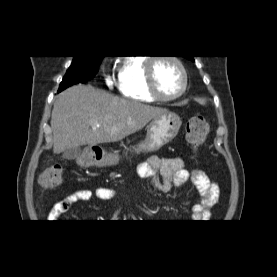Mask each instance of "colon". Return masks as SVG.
Returning <instances> with one entry per match:
<instances>
[{
    "mask_svg": "<svg viewBox=\"0 0 277 277\" xmlns=\"http://www.w3.org/2000/svg\"><path fill=\"white\" fill-rule=\"evenodd\" d=\"M209 133V124L205 116L194 115L186 124V140L193 149H198L205 142ZM43 188L59 186L63 181V169L57 164L45 168L38 178Z\"/></svg>",
    "mask_w": 277,
    "mask_h": 277,
    "instance_id": "obj_1",
    "label": "colon"
}]
</instances>
